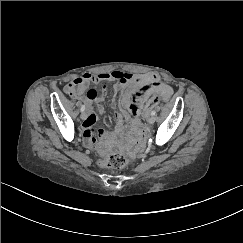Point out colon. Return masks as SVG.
Instances as JSON below:
<instances>
[{"mask_svg":"<svg viewBox=\"0 0 243 243\" xmlns=\"http://www.w3.org/2000/svg\"><path fill=\"white\" fill-rule=\"evenodd\" d=\"M166 100H168V98L163 99V101ZM101 164L110 168H123L127 164V159L120 154H112L102 159Z\"/></svg>","mask_w":243,"mask_h":243,"instance_id":"5ec220e1","label":"colon"}]
</instances>
